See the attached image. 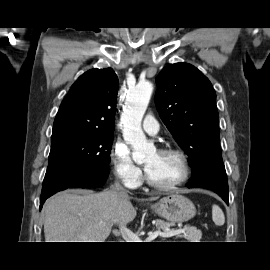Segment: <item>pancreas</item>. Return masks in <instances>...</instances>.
Masks as SVG:
<instances>
[{
  "instance_id": "pancreas-1",
  "label": "pancreas",
  "mask_w": 270,
  "mask_h": 270,
  "mask_svg": "<svg viewBox=\"0 0 270 270\" xmlns=\"http://www.w3.org/2000/svg\"><path fill=\"white\" fill-rule=\"evenodd\" d=\"M156 230L166 232L169 230L171 223L165 222L163 220H156ZM202 236L201 230L197 229L196 227H186V231L183 235L178 234V237H184L188 242H200Z\"/></svg>"
}]
</instances>
